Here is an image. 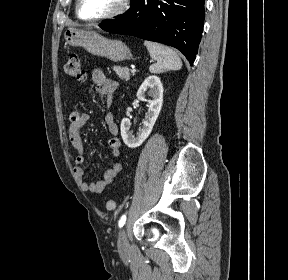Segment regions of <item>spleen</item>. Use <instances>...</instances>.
I'll return each instance as SVG.
<instances>
[{
    "label": "spleen",
    "mask_w": 288,
    "mask_h": 280,
    "mask_svg": "<svg viewBox=\"0 0 288 280\" xmlns=\"http://www.w3.org/2000/svg\"><path fill=\"white\" fill-rule=\"evenodd\" d=\"M151 58L156 60V63L149 67L151 73H163L169 70H178L182 67V62L177 53L162 44L144 41Z\"/></svg>",
    "instance_id": "spleen-1"
}]
</instances>
